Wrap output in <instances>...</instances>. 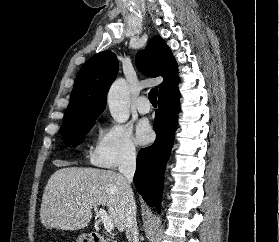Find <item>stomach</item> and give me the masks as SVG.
Returning a JSON list of instances; mask_svg holds the SVG:
<instances>
[{
	"mask_svg": "<svg viewBox=\"0 0 279 242\" xmlns=\"http://www.w3.org/2000/svg\"><path fill=\"white\" fill-rule=\"evenodd\" d=\"M85 239H86V236L85 235H81V236L78 237L77 242H83Z\"/></svg>",
	"mask_w": 279,
	"mask_h": 242,
	"instance_id": "1",
	"label": "stomach"
}]
</instances>
